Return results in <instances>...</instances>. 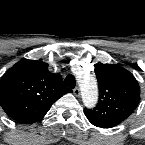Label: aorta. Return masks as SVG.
I'll list each match as a JSON object with an SVG mask.
<instances>
[{
	"instance_id": "obj_1",
	"label": "aorta",
	"mask_w": 145,
	"mask_h": 145,
	"mask_svg": "<svg viewBox=\"0 0 145 145\" xmlns=\"http://www.w3.org/2000/svg\"><path fill=\"white\" fill-rule=\"evenodd\" d=\"M77 80L84 105L88 108L94 107L98 100V87L95 78L88 72H80Z\"/></svg>"
}]
</instances>
